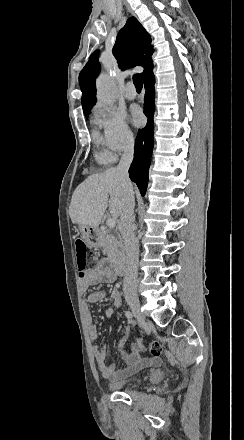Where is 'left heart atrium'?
Masks as SVG:
<instances>
[{
	"label": "left heart atrium",
	"mask_w": 244,
	"mask_h": 440,
	"mask_svg": "<svg viewBox=\"0 0 244 440\" xmlns=\"http://www.w3.org/2000/svg\"><path fill=\"white\" fill-rule=\"evenodd\" d=\"M133 120L137 125H140L144 121V115L138 107L133 109Z\"/></svg>",
	"instance_id": "obj_1"
}]
</instances>
